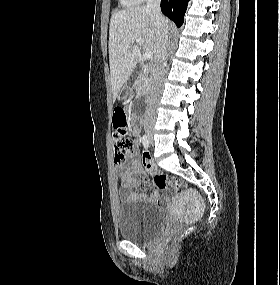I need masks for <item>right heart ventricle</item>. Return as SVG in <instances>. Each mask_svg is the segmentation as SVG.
<instances>
[{
    "label": "right heart ventricle",
    "mask_w": 280,
    "mask_h": 285,
    "mask_svg": "<svg viewBox=\"0 0 280 285\" xmlns=\"http://www.w3.org/2000/svg\"><path fill=\"white\" fill-rule=\"evenodd\" d=\"M141 0H120L121 4L126 7H132L139 3Z\"/></svg>",
    "instance_id": "1"
}]
</instances>
